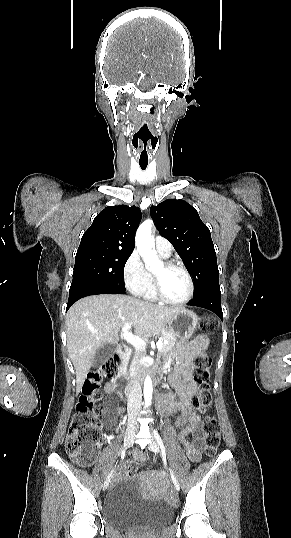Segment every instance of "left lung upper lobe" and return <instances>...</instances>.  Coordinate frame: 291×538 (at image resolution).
<instances>
[{
	"mask_svg": "<svg viewBox=\"0 0 291 538\" xmlns=\"http://www.w3.org/2000/svg\"><path fill=\"white\" fill-rule=\"evenodd\" d=\"M151 216L194 280V297L219 284L216 252L208 227L197 210L184 200L168 199L152 206Z\"/></svg>",
	"mask_w": 291,
	"mask_h": 538,
	"instance_id": "1",
	"label": "left lung upper lobe"
}]
</instances>
